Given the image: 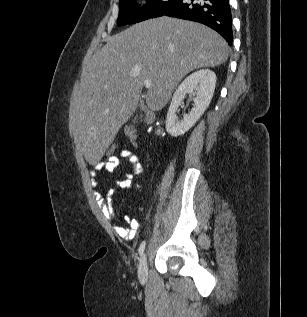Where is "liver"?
<instances>
[{
	"label": "liver",
	"instance_id": "obj_1",
	"mask_svg": "<svg viewBox=\"0 0 307 317\" xmlns=\"http://www.w3.org/2000/svg\"><path fill=\"white\" fill-rule=\"evenodd\" d=\"M229 56L227 42L205 25L160 17L107 39L84 71L70 103L74 137L86 160L96 164L135 112L145 80L146 104L161 110L184 76L215 67Z\"/></svg>",
	"mask_w": 307,
	"mask_h": 317
}]
</instances>
